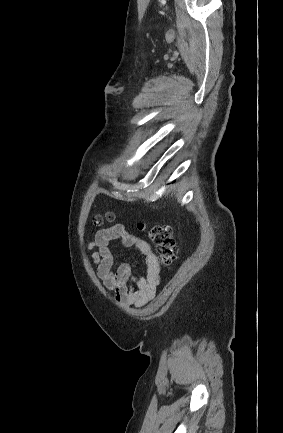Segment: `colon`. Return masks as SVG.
I'll return each mask as SVG.
<instances>
[{"label": "colon", "mask_w": 283, "mask_h": 433, "mask_svg": "<svg viewBox=\"0 0 283 433\" xmlns=\"http://www.w3.org/2000/svg\"><path fill=\"white\" fill-rule=\"evenodd\" d=\"M114 219L113 213H107L104 217L95 215L93 217L94 225H101L104 220L111 221ZM141 230H145L156 245L159 260L161 264L167 268L171 267L177 257V244L173 237L172 228L168 225H154L146 227L144 224H139Z\"/></svg>", "instance_id": "obj_1"}]
</instances>
